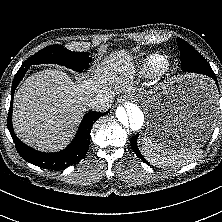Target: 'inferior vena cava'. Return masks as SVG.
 <instances>
[{
    "instance_id": "602c4592",
    "label": "inferior vena cava",
    "mask_w": 222,
    "mask_h": 222,
    "mask_svg": "<svg viewBox=\"0 0 222 222\" xmlns=\"http://www.w3.org/2000/svg\"><path fill=\"white\" fill-rule=\"evenodd\" d=\"M112 96L98 94L93 98L87 100L86 105L96 111H105L111 107Z\"/></svg>"
}]
</instances>
